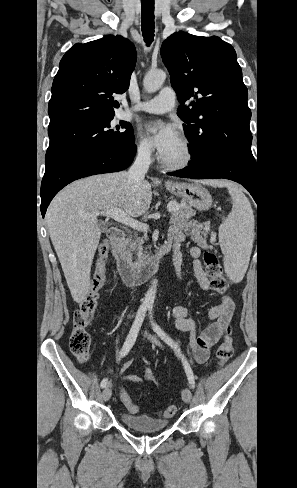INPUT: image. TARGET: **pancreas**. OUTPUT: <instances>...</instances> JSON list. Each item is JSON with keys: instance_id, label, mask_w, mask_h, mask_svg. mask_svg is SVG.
I'll use <instances>...</instances> for the list:
<instances>
[{"instance_id": "cf45deb5", "label": "pancreas", "mask_w": 297, "mask_h": 488, "mask_svg": "<svg viewBox=\"0 0 297 488\" xmlns=\"http://www.w3.org/2000/svg\"><path fill=\"white\" fill-rule=\"evenodd\" d=\"M175 204L177 209L171 212V222L177 224L182 227H189L192 225L200 227V223L198 221H189V219L195 214V211L192 209L191 206L179 204L176 201L170 202ZM202 231H195L192 239L196 242H202L203 239L200 236ZM147 240V236H142L137 238L135 241H125L124 243V255L125 258L131 262L132 261V252L137 251V262L142 263L146 260L147 256L143 254V247L144 241Z\"/></svg>"}]
</instances>
